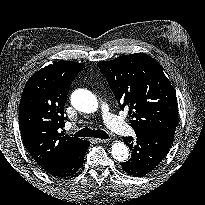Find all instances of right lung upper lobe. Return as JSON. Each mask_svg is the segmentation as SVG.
<instances>
[{
	"mask_svg": "<svg viewBox=\"0 0 205 205\" xmlns=\"http://www.w3.org/2000/svg\"><path fill=\"white\" fill-rule=\"evenodd\" d=\"M84 67L78 62L59 61L34 73L25 85L19 105L21 137L43 169L59 163L83 143L61 130L69 87Z\"/></svg>",
	"mask_w": 205,
	"mask_h": 205,
	"instance_id": "obj_1",
	"label": "right lung upper lobe"
}]
</instances>
